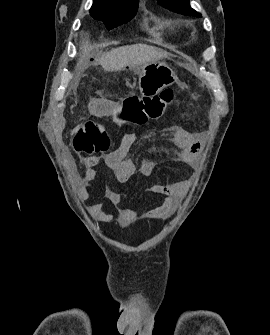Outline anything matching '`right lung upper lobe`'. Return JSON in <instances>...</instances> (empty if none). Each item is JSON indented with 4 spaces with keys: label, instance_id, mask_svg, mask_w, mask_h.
<instances>
[{
    "label": "right lung upper lobe",
    "instance_id": "cb5924a9",
    "mask_svg": "<svg viewBox=\"0 0 270 335\" xmlns=\"http://www.w3.org/2000/svg\"><path fill=\"white\" fill-rule=\"evenodd\" d=\"M138 3H139V0H94V4L100 7L136 5Z\"/></svg>",
    "mask_w": 270,
    "mask_h": 335
}]
</instances>
